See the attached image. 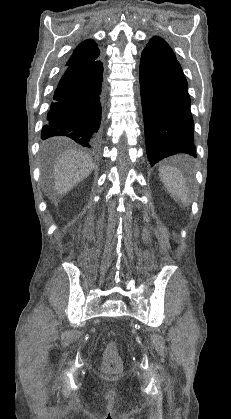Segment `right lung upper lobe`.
I'll use <instances>...</instances> for the list:
<instances>
[{
    "mask_svg": "<svg viewBox=\"0 0 231 419\" xmlns=\"http://www.w3.org/2000/svg\"><path fill=\"white\" fill-rule=\"evenodd\" d=\"M98 56L99 49L97 47V44L92 40H86L76 47L67 64L81 61L96 60Z\"/></svg>",
    "mask_w": 231,
    "mask_h": 419,
    "instance_id": "obj_1",
    "label": "right lung upper lobe"
}]
</instances>
